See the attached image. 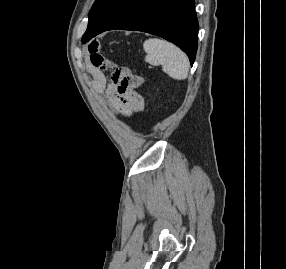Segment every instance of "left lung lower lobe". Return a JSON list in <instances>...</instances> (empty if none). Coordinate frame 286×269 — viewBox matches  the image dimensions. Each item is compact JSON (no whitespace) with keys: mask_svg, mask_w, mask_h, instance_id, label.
<instances>
[{"mask_svg":"<svg viewBox=\"0 0 286 269\" xmlns=\"http://www.w3.org/2000/svg\"><path fill=\"white\" fill-rule=\"evenodd\" d=\"M112 29L138 30L158 35L180 47L188 55L191 65L194 63L198 41L194 0H143L99 33Z\"/></svg>","mask_w":286,"mask_h":269,"instance_id":"left-lung-lower-lobe-1","label":"left lung lower lobe"}]
</instances>
